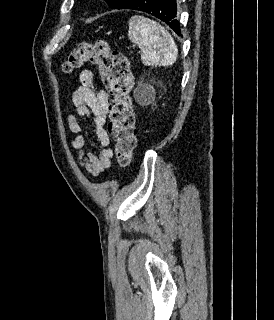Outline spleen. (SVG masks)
<instances>
[{
  "label": "spleen",
  "mask_w": 274,
  "mask_h": 320,
  "mask_svg": "<svg viewBox=\"0 0 274 320\" xmlns=\"http://www.w3.org/2000/svg\"><path fill=\"white\" fill-rule=\"evenodd\" d=\"M128 38L139 46L144 66H172L177 60L178 50L171 34L154 20L132 16Z\"/></svg>",
  "instance_id": "1"
}]
</instances>
